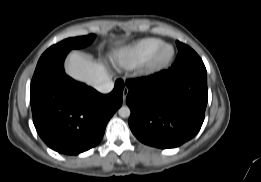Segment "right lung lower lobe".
<instances>
[{
    "label": "right lung lower lobe",
    "instance_id": "98d812e1",
    "mask_svg": "<svg viewBox=\"0 0 261 182\" xmlns=\"http://www.w3.org/2000/svg\"><path fill=\"white\" fill-rule=\"evenodd\" d=\"M69 51L38 61L30 88L35 128L53 150L77 155L95 147L106 125L122 105L124 83L117 80L113 91L100 94L65 74L63 63Z\"/></svg>",
    "mask_w": 261,
    "mask_h": 182
}]
</instances>
